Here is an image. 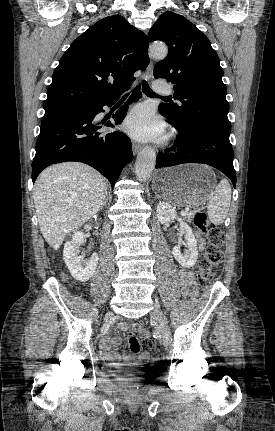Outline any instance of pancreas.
I'll return each mask as SVG.
<instances>
[{"label": "pancreas", "instance_id": "obj_1", "mask_svg": "<svg viewBox=\"0 0 275 431\" xmlns=\"http://www.w3.org/2000/svg\"><path fill=\"white\" fill-rule=\"evenodd\" d=\"M193 217H194V214H187V215H185L184 216V220L185 221H187V222H191L192 221V219H193Z\"/></svg>", "mask_w": 275, "mask_h": 431}]
</instances>
